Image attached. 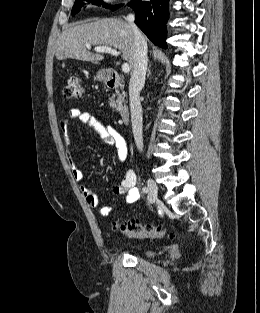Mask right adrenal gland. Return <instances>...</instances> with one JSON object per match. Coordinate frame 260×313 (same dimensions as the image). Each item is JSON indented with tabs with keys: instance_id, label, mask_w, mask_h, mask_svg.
Wrapping results in <instances>:
<instances>
[{
	"instance_id": "obj_1",
	"label": "right adrenal gland",
	"mask_w": 260,
	"mask_h": 313,
	"mask_svg": "<svg viewBox=\"0 0 260 313\" xmlns=\"http://www.w3.org/2000/svg\"><path fill=\"white\" fill-rule=\"evenodd\" d=\"M150 67H151V64L149 65V67H148V73H147V77H149L150 76Z\"/></svg>"
}]
</instances>
